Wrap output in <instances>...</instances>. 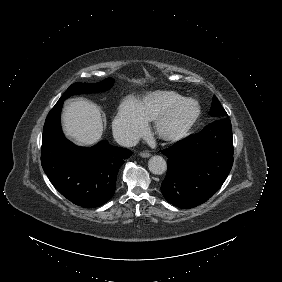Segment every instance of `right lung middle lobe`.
Listing matches in <instances>:
<instances>
[{
    "label": "right lung middle lobe",
    "instance_id": "dd1d6c3e",
    "mask_svg": "<svg viewBox=\"0 0 282 282\" xmlns=\"http://www.w3.org/2000/svg\"><path fill=\"white\" fill-rule=\"evenodd\" d=\"M113 83L114 80L112 78H106L103 81L95 84L74 83L66 90L59 101H64L70 96L76 94L103 92L111 88Z\"/></svg>",
    "mask_w": 282,
    "mask_h": 282
}]
</instances>
